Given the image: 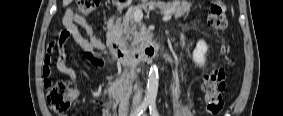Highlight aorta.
<instances>
[{"label": "aorta", "instance_id": "1", "mask_svg": "<svg viewBox=\"0 0 283 116\" xmlns=\"http://www.w3.org/2000/svg\"><path fill=\"white\" fill-rule=\"evenodd\" d=\"M159 85V74L156 65H152L149 70L147 90L145 94V101L148 103H155Z\"/></svg>", "mask_w": 283, "mask_h": 116}]
</instances>
